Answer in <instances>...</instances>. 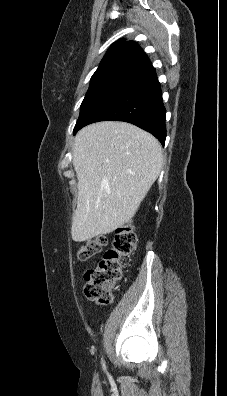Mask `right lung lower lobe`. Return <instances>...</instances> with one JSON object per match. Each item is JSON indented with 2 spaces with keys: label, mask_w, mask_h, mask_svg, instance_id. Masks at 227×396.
<instances>
[{
  "label": "right lung lower lobe",
  "mask_w": 227,
  "mask_h": 396,
  "mask_svg": "<svg viewBox=\"0 0 227 396\" xmlns=\"http://www.w3.org/2000/svg\"><path fill=\"white\" fill-rule=\"evenodd\" d=\"M165 114L160 83L149 61L101 101L74 129V134L88 124L115 120L132 123L164 144Z\"/></svg>",
  "instance_id": "right-lung-lower-lobe-1"
}]
</instances>
